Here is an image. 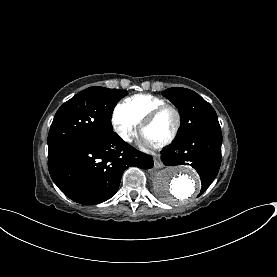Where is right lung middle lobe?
<instances>
[{
    "label": "right lung middle lobe",
    "instance_id": "obj_1",
    "mask_svg": "<svg viewBox=\"0 0 277 277\" xmlns=\"http://www.w3.org/2000/svg\"><path fill=\"white\" fill-rule=\"evenodd\" d=\"M127 91L87 88L65 102L56 112L48 135V148L59 144L112 136L111 115Z\"/></svg>",
    "mask_w": 277,
    "mask_h": 277
}]
</instances>
